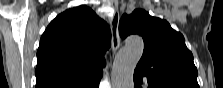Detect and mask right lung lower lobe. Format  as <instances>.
<instances>
[{
  "mask_svg": "<svg viewBox=\"0 0 223 88\" xmlns=\"http://www.w3.org/2000/svg\"><path fill=\"white\" fill-rule=\"evenodd\" d=\"M99 82H100V79L97 82H95L91 88H98Z\"/></svg>",
  "mask_w": 223,
  "mask_h": 88,
  "instance_id": "right-lung-lower-lobe-1",
  "label": "right lung lower lobe"
}]
</instances>
